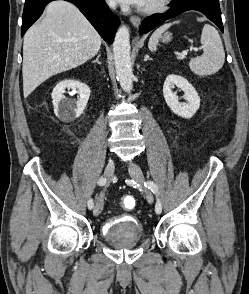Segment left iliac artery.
<instances>
[{"mask_svg": "<svg viewBox=\"0 0 249 294\" xmlns=\"http://www.w3.org/2000/svg\"><path fill=\"white\" fill-rule=\"evenodd\" d=\"M144 186L148 187V189H150L156 195L157 200H156V205H155V212L157 214H160L162 212V204H161V201L158 197L159 192H158L157 185L153 181H147L144 183Z\"/></svg>", "mask_w": 249, "mask_h": 294, "instance_id": "1", "label": "left iliac artery"}]
</instances>
